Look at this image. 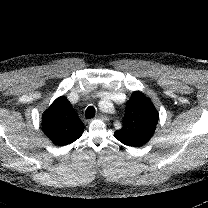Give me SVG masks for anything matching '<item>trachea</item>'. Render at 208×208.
<instances>
[{"mask_svg": "<svg viewBox=\"0 0 208 208\" xmlns=\"http://www.w3.org/2000/svg\"><path fill=\"white\" fill-rule=\"evenodd\" d=\"M96 110L93 106H89L85 111L86 118H93L95 116Z\"/></svg>", "mask_w": 208, "mask_h": 208, "instance_id": "trachea-1", "label": "trachea"}]
</instances>
